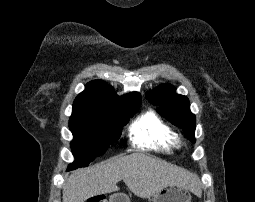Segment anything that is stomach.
Here are the masks:
<instances>
[{
  "label": "stomach",
  "instance_id": "1",
  "mask_svg": "<svg viewBox=\"0 0 255 202\" xmlns=\"http://www.w3.org/2000/svg\"><path fill=\"white\" fill-rule=\"evenodd\" d=\"M190 190L178 185L170 184L163 187L153 195V202H191ZM109 202H130L124 194H113L109 197Z\"/></svg>",
  "mask_w": 255,
  "mask_h": 202
}]
</instances>
